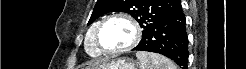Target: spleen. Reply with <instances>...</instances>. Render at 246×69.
<instances>
[{
    "label": "spleen",
    "mask_w": 246,
    "mask_h": 69,
    "mask_svg": "<svg viewBox=\"0 0 246 69\" xmlns=\"http://www.w3.org/2000/svg\"><path fill=\"white\" fill-rule=\"evenodd\" d=\"M136 57L140 69H178L170 59L156 53L139 51Z\"/></svg>",
    "instance_id": "3e777b00"
}]
</instances>
